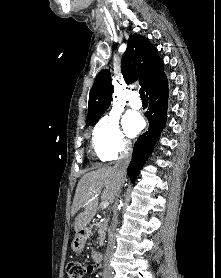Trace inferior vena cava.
<instances>
[{"mask_svg": "<svg viewBox=\"0 0 221 278\" xmlns=\"http://www.w3.org/2000/svg\"><path fill=\"white\" fill-rule=\"evenodd\" d=\"M130 160H131V150L128 148V149H125L120 154V157L114 166V168L116 169V171L118 173V176L121 179H124L126 176V170L130 163ZM121 187H119L115 193L116 199H115L114 210H113L114 214H113V218H112V222H111V227L109 230V241H108L107 250H106L105 257H104V264H103L104 272L111 271L110 259H111L113 250L115 248V232H116V228H117V224H118V215H117L118 199L117 198L120 196Z\"/></svg>", "mask_w": 221, "mask_h": 278, "instance_id": "inferior-vena-cava-1", "label": "inferior vena cava"}]
</instances>
